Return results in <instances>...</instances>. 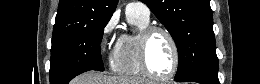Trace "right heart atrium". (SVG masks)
Instances as JSON below:
<instances>
[{
    "instance_id": "d8ad5b80",
    "label": "right heart atrium",
    "mask_w": 260,
    "mask_h": 84,
    "mask_svg": "<svg viewBox=\"0 0 260 84\" xmlns=\"http://www.w3.org/2000/svg\"><path fill=\"white\" fill-rule=\"evenodd\" d=\"M115 27H116V19L111 18L105 23V25L102 28L99 47L103 55H105L111 47L112 44L111 40H112ZM114 50H113V54H114Z\"/></svg>"
}]
</instances>
